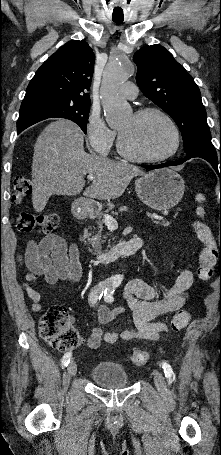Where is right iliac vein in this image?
I'll return each mask as SVG.
<instances>
[{"label": "right iliac vein", "mask_w": 221, "mask_h": 455, "mask_svg": "<svg viewBox=\"0 0 221 455\" xmlns=\"http://www.w3.org/2000/svg\"><path fill=\"white\" fill-rule=\"evenodd\" d=\"M67 371L69 373V375L71 376H75L76 375V372H77V364L74 360H72L68 367H67Z\"/></svg>", "instance_id": "63e3f726"}]
</instances>
